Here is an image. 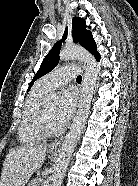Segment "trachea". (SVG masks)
<instances>
[{
    "label": "trachea",
    "instance_id": "trachea-1",
    "mask_svg": "<svg viewBox=\"0 0 138 186\" xmlns=\"http://www.w3.org/2000/svg\"><path fill=\"white\" fill-rule=\"evenodd\" d=\"M77 81H78V82H81V81H82V76L79 75V76L77 77Z\"/></svg>",
    "mask_w": 138,
    "mask_h": 186
}]
</instances>
